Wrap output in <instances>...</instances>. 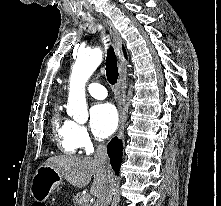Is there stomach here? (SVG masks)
Here are the masks:
<instances>
[{"mask_svg":"<svg viewBox=\"0 0 221 206\" xmlns=\"http://www.w3.org/2000/svg\"><path fill=\"white\" fill-rule=\"evenodd\" d=\"M63 182V176L54 168L42 165L33 176L31 194L38 202L45 201Z\"/></svg>","mask_w":221,"mask_h":206,"instance_id":"0dacf381","label":"stomach"}]
</instances>
